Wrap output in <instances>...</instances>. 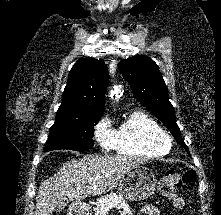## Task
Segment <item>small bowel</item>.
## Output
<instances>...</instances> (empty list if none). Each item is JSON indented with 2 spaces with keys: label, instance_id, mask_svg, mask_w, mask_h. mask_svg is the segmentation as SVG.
<instances>
[{
  "label": "small bowel",
  "instance_id": "1",
  "mask_svg": "<svg viewBox=\"0 0 221 215\" xmlns=\"http://www.w3.org/2000/svg\"><path fill=\"white\" fill-rule=\"evenodd\" d=\"M145 215H160V210L154 205H145L142 209ZM121 215H133L129 210H124Z\"/></svg>",
  "mask_w": 221,
  "mask_h": 215
}]
</instances>
